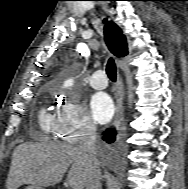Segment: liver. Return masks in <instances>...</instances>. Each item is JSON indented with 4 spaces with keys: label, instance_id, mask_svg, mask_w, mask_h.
<instances>
[{
    "label": "liver",
    "instance_id": "liver-1",
    "mask_svg": "<svg viewBox=\"0 0 188 189\" xmlns=\"http://www.w3.org/2000/svg\"><path fill=\"white\" fill-rule=\"evenodd\" d=\"M70 167L67 182L72 189H84L91 176V163L79 149L65 143H23L13 152L7 189L32 185L36 189L59 183Z\"/></svg>",
    "mask_w": 188,
    "mask_h": 189
}]
</instances>
